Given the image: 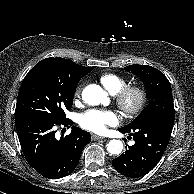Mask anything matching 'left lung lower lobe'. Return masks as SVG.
<instances>
[{
    "instance_id": "left-lung-lower-lobe-1",
    "label": "left lung lower lobe",
    "mask_w": 194,
    "mask_h": 194,
    "mask_svg": "<svg viewBox=\"0 0 194 194\" xmlns=\"http://www.w3.org/2000/svg\"><path fill=\"white\" fill-rule=\"evenodd\" d=\"M174 119V112L157 113L139 119L130 128H120V132L133 136L135 144L128 146L124 154L112 160L113 167L129 178L146 175L163 156Z\"/></svg>"
}]
</instances>
